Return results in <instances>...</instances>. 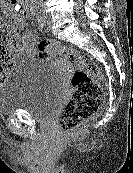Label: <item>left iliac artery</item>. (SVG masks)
<instances>
[{"mask_svg":"<svg viewBox=\"0 0 133 173\" xmlns=\"http://www.w3.org/2000/svg\"><path fill=\"white\" fill-rule=\"evenodd\" d=\"M35 15H36V20L38 22V25L42 29L44 26V22H45V15H44V13H42L41 10H39V11L37 10Z\"/></svg>","mask_w":133,"mask_h":173,"instance_id":"obj_1","label":"left iliac artery"}]
</instances>
